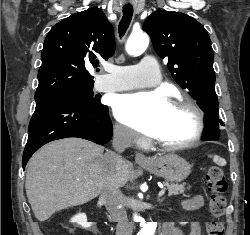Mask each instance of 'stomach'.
Returning a JSON list of instances; mask_svg holds the SVG:
<instances>
[{"label":"stomach","instance_id":"1","mask_svg":"<svg viewBox=\"0 0 250 235\" xmlns=\"http://www.w3.org/2000/svg\"><path fill=\"white\" fill-rule=\"evenodd\" d=\"M141 166L157 177L176 183L185 180L191 172L189 162L176 154L160 156Z\"/></svg>","mask_w":250,"mask_h":235}]
</instances>
